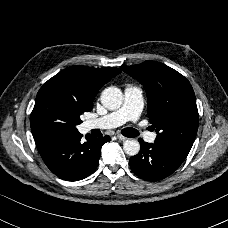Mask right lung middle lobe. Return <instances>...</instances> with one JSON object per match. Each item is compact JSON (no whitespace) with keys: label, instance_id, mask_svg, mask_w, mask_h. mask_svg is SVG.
Segmentation results:
<instances>
[{"label":"right lung middle lobe","instance_id":"1","mask_svg":"<svg viewBox=\"0 0 228 228\" xmlns=\"http://www.w3.org/2000/svg\"><path fill=\"white\" fill-rule=\"evenodd\" d=\"M87 110L74 95L60 84L47 81L39 90L31 113L34 140L78 132L80 116Z\"/></svg>","mask_w":228,"mask_h":228}]
</instances>
